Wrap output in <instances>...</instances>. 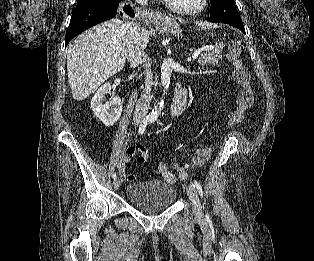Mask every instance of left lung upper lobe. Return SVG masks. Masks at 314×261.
Instances as JSON below:
<instances>
[{"mask_svg": "<svg viewBox=\"0 0 314 261\" xmlns=\"http://www.w3.org/2000/svg\"><path fill=\"white\" fill-rule=\"evenodd\" d=\"M211 14L209 21L222 23H242L241 17L236 10L234 0H210Z\"/></svg>", "mask_w": 314, "mask_h": 261, "instance_id": "obj_1", "label": "left lung upper lobe"}]
</instances>
